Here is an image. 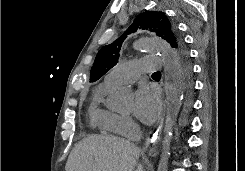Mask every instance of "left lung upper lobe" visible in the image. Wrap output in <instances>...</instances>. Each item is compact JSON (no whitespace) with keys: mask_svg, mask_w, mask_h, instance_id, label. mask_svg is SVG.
Returning <instances> with one entry per match:
<instances>
[{"mask_svg":"<svg viewBox=\"0 0 245 171\" xmlns=\"http://www.w3.org/2000/svg\"><path fill=\"white\" fill-rule=\"evenodd\" d=\"M138 29H148L166 40L174 48L177 61H190L182 38L176 30V26L169 21L165 13L147 11L139 14L120 38L99 50L91 68L90 82L97 81L117 64L120 48L126 35Z\"/></svg>","mask_w":245,"mask_h":171,"instance_id":"5c2ea615","label":"left lung upper lobe"}]
</instances>
